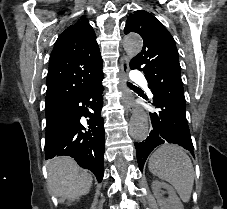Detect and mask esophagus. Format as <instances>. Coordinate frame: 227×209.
<instances>
[{
	"mask_svg": "<svg viewBox=\"0 0 227 209\" xmlns=\"http://www.w3.org/2000/svg\"><path fill=\"white\" fill-rule=\"evenodd\" d=\"M121 64V73H120V89L123 92V98L122 101L127 109L130 110V113H133L134 116H139L140 113H144L145 117L149 116V113L146 112L145 108H136V103L134 102V96L128 90L126 86V81L128 80V73L130 70L129 67V58L127 56H123L120 59Z\"/></svg>",
	"mask_w": 227,
	"mask_h": 209,
	"instance_id": "34e87169",
	"label": "esophagus"
}]
</instances>
